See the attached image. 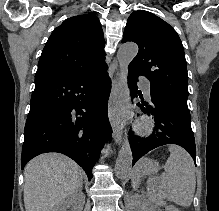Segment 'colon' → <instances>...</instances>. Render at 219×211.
Segmentation results:
<instances>
[{
  "label": "colon",
  "mask_w": 219,
  "mask_h": 211,
  "mask_svg": "<svg viewBox=\"0 0 219 211\" xmlns=\"http://www.w3.org/2000/svg\"><path fill=\"white\" fill-rule=\"evenodd\" d=\"M163 211H179L178 208L171 204H165L163 206Z\"/></svg>",
  "instance_id": "1"
}]
</instances>
